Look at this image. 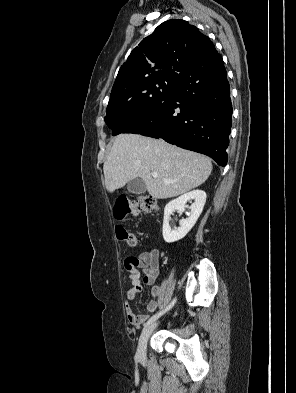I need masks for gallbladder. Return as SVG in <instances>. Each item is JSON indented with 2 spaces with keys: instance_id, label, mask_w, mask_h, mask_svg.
<instances>
[{
  "instance_id": "bac80fb5",
  "label": "gallbladder",
  "mask_w": 296,
  "mask_h": 393,
  "mask_svg": "<svg viewBox=\"0 0 296 393\" xmlns=\"http://www.w3.org/2000/svg\"><path fill=\"white\" fill-rule=\"evenodd\" d=\"M127 189L133 194H142L146 192V185L140 178H135L128 182Z\"/></svg>"
}]
</instances>
